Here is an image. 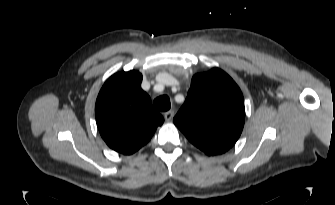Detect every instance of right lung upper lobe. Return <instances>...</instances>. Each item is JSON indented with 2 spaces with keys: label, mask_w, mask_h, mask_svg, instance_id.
Masks as SVG:
<instances>
[{
  "label": "right lung upper lobe",
  "mask_w": 335,
  "mask_h": 205,
  "mask_svg": "<svg viewBox=\"0 0 335 205\" xmlns=\"http://www.w3.org/2000/svg\"><path fill=\"white\" fill-rule=\"evenodd\" d=\"M137 71L112 75L101 88L95 105L99 132L113 150L130 155L145 145L164 119L141 89Z\"/></svg>",
  "instance_id": "1"
}]
</instances>
